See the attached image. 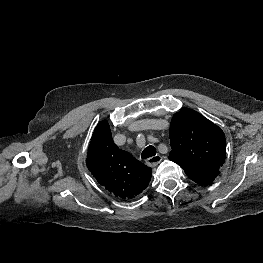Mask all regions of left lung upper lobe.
Instances as JSON below:
<instances>
[{
	"instance_id": "left-lung-upper-lobe-1",
	"label": "left lung upper lobe",
	"mask_w": 263,
	"mask_h": 263,
	"mask_svg": "<svg viewBox=\"0 0 263 263\" xmlns=\"http://www.w3.org/2000/svg\"><path fill=\"white\" fill-rule=\"evenodd\" d=\"M169 159L190 175L216 177L225 162L226 139L220 127L200 113L182 108L170 126Z\"/></svg>"
}]
</instances>
